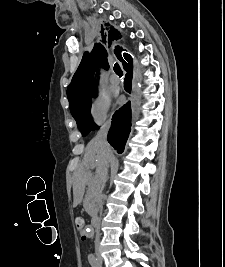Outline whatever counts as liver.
<instances>
[{
  "label": "liver",
  "mask_w": 225,
  "mask_h": 267,
  "mask_svg": "<svg viewBox=\"0 0 225 267\" xmlns=\"http://www.w3.org/2000/svg\"><path fill=\"white\" fill-rule=\"evenodd\" d=\"M107 162L106 153L102 147L95 141L91 140L85 149L82 162L77 166L73 184V205L81 203L85 191V185L90 179V168L96 165V173L100 172ZM96 174V176H97ZM96 178V177H95Z\"/></svg>",
  "instance_id": "6515ba94"
}]
</instances>
